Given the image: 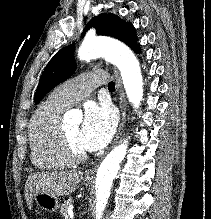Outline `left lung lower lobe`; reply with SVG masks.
<instances>
[{
	"label": "left lung lower lobe",
	"instance_id": "1",
	"mask_svg": "<svg viewBox=\"0 0 211 219\" xmlns=\"http://www.w3.org/2000/svg\"><path fill=\"white\" fill-rule=\"evenodd\" d=\"M135 51H136L137 53H140L139 45L136 47Z\"/></svg>",
	"mask_w": 211,
	"mask_h": 219
}]
</instances>
